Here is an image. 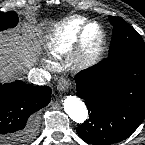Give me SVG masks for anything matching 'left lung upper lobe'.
<instances>
[{"label": "left lung upper lobe", "mask_w": 145, "mask_h": 145, "mask_svg": "<svg viewBox=\"0 0 145 145\" xmlns=\"http://www.w3.org/2000/svg\"><path fill=\"white\" fill-rule=\"evenodd\" d=\"M113 25L109 57L134 55L145 59V44L138 32L120 17L109 16Z\"/></svg>", "instance_id": "5c2ea615"}]
</instances>
